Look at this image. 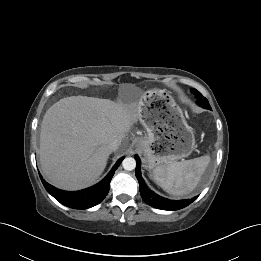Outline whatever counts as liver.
I'll list each match as a JSON object with an SVG mask.
<instances>
[{"instance_id":"obj_1","label":"liver","mask_w":261,"mask_h":261,"mask_svg":"<svg viewBox=\"0 0 261 261\" xmlns=\"http://www.w3.org/2000/svg\"><path fill=\"white\" fill-rule=\"evenodd\" d=\"M142 100L130 105L108 99L71 96L45 113L40 132V163L46 179L65 190L94 183L112 153L109 143L126 138L139 120Z\"/></svg>"}]
</instances>
